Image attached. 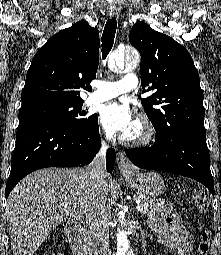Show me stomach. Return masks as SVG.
Here are the masks:
<instances>
[{"label": "stomach", "instance_id": "1", "mask_svg": "<svg viewBox=\"0 0 221 255\" xmlns=\"http://www.w3.org/2000/svg\"><path fill=\"white\" fill-rule=\"evenodd\" d=\"M127 184L144 196L155 197L163 193V178L156 172L133 173L124 175Z\"/></svg>", "mask_w": 221, "mask_h": 255}]
</instances>
